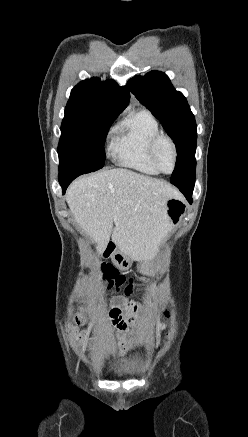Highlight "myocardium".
I'll return each instance as SVG.
<instances>
[{"instance_id":"obj_1","label":"myocardium","mask_w":248,"mask_h":437,"mask_svg":"<svg viewBox=\"0 0 248 437\" xmlns=\"http://www.w3.org/2000/svg\"><path fill=\"white\" fill-rule=\"evenodd\" d=\"M162 141H167L170 144V146L172 148V152H173V166L169 172L164 171L161 168L159 161H158L157 152H158V147ZM149 157H150V160H151L153 166L160 173L171 174L176 169L177 161H178V149H177L176 143L173 140V138L167 134H164V133H158L157 135H155L149 144Z\"/></svg>"}]
</instances>
